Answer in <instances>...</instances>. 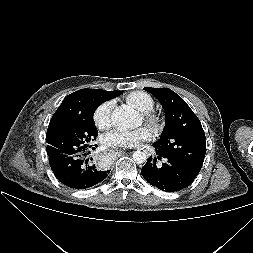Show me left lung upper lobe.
Listing matches in <instances>:
<instances>
[{
  "mask_svg": "<svg viewBox=\"0 0 253 253\" xmlns=\"http://www.w3.org/2000/svg\"><path fill=\"white\" fill-rule=\"evenodd\" d=\"M144 90L154 95L165 111V127L160 139L153 144L156 153L198 174L206 152L205 133L198 117L171 89L145 87Z\"/></svg>",
  "mask_w": 253,
  "mask_h": 253,
  "instance_id": "obj_1",
  "label": "left lung upper lobe"
}]
</instances>
